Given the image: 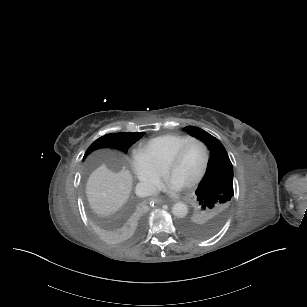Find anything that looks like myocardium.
I'll list each match as a JSON object with an SVG mask.
<instances>
[{"label": "myocardium", "mask_w": 307, "mask_h": 307, "mask_svg": "<svg viewBox=\"0 0 307 307\" xmlns=\"http://www.w3.org/2000/svg\"><path fill=\"white\" fill-rule=\"evenodd\" d=\"M192 142H199L202 144L204 148V163L200 171L187 183L186 185L187 188H191L197 185L205 177L208 171L209 163H210V154H209V148H208L207 143L201 138L191 137L187 139L186 141H184L180 145V147L172 155H170L163 163V170H164L165 175H167L169 167L181 159L187 146Z\"/></svg>", "instance_id": "1"}]
</instances>
